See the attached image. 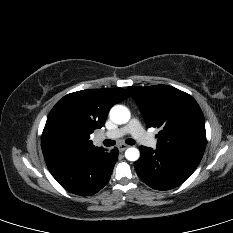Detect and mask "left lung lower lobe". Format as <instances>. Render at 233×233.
<instances>
[{
	"label": "left lung lower lobe",
	"instance_id": "0a47b994",
	"mask_svg": "<svg viewBox=\"0 0 233 233\" xmlns=\"http://www.w3.org/2000/svg\"><path fill=\"white\" fill-rule=\"evenodd\" d=\"M141 156L134 163L141 180L156 190H169L182 184L195 171L203 153L182 148L140 146Z\"/></svg>",
	"mask_w": 233,
	"mask_h": 233
}]
</instances>
